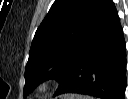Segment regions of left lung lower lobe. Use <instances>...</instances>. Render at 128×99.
Here are the masks:
<instances>
[{"label": "left lung lower lobe", "instance_id": "0a47b994", "mask_svg": "<svg viewBox=\"0 0 128 99\" xmlns=\"http://www.w3.org/2000/svg\"><path fill=\"white\" fill-rule=\"evenodd\" d=\"M59 82L54 96L78 93L102 99H124L126 44L112 0Z\"/></svg>", "mask_w": 128, "mask_h": 99}]
</instances>
